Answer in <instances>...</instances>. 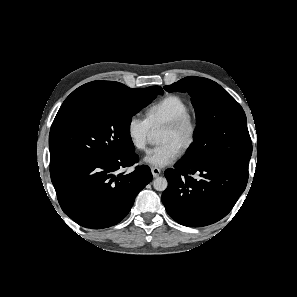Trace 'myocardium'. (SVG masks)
<instances>
[{
  "label": "myocardium",
  "mask_w": 297,
  "mask_h": 297,
  "mask_svg": "<svg viewBox=\"0 0 297 297\" xmlns=\"http://www.w3.org/2000/svg\"><path fill=\"white\" fill-rule=\"evenodd\" d=\"M162 130L179 131L185 129L187 137L180 148L181 153L187 152L194 144L197 136V122L189 112L179 115L161 127Z\"/></svg>",
  "instance_id": "f54148a6"
}]
</instances>
